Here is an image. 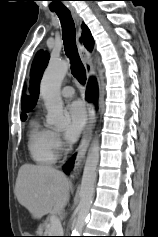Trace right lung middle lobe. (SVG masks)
<instances>
[{
  "mask_svg": "<svg viewBox=\"0 0 158 237\" xmlns=\"http://www.w3.org/2000/svg\"><path fill=\"white\" fill-rule=\"evenodd\" d=\"M21 120L25 121L26 120V116H21Z\"/></svg>",
  "mask_w": 158,
  "mask_h": 237,
  "instance_id": "obj_1",
  "label": "right lung middle lobe"
}]
</instances>
